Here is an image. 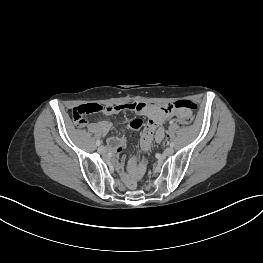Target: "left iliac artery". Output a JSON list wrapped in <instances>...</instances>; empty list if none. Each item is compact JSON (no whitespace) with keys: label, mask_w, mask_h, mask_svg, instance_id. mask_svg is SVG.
Masks as SVG:
<instances>
[{"label":"left iliac artery","mask_w":263,"mask_h":263,"mask_svg":"<svg viewBox=\"0 0 263 263\" xmlns=\"http://www.w3.org/2000/svg\"><path fill=\"white\" fill-rule=\"evenodd\" d=\"M169 146L173 148V147H174V143L171 142V143L169 144Z\"/></svg>","instance_id":"1"}]
</instances>
